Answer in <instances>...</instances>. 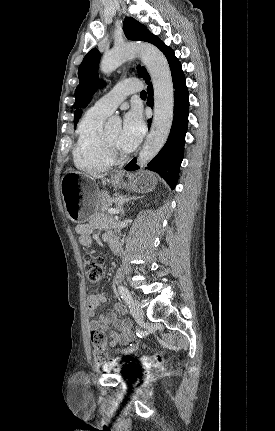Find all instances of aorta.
I'll use <instances>...</instances> for the list:
<instances>
[{
	"label": "aorta",
	"instance_id": "aorta-1",
	"mask_svg": "<svg viewBox=\"0 0 275 431\" xmlns=\"http://www.w3.org/2000/svg\"><path fill=\"white\" fill-rule=\"evenodd\" d=\"M134 57H140L146 66L154 90L152 126L137 160L138 166L145 167L162 149L170 134L173 122L174 88L166 57L152 45L129 44L116 47L103 56L100 69L104 74H109ZM118 124L119 120L114 117L108 121L109 127Z\"/></svg>",
	"mask_w": 275,
	"mask_h": 431
}]
</instances>
